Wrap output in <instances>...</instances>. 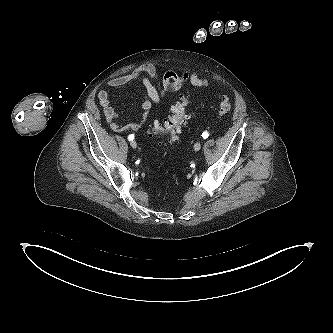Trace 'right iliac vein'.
<instances>
[{
  "instance_id": "obj_1",
  "label": "right iliac vein",
  "mask_w": 333,
  "mask_h": 333,
  "mask_svg": "<svg viewBox=\"0 0 333 333\" xmlns=\"http://www.w3.org/2000/svg\"><path fill=\"white\" fill-rule=\"evenodd\" d=\"M130 146L135 149L137 147V143L134 140H132L130 142Z\"/></svg>"
}]
</instances>
